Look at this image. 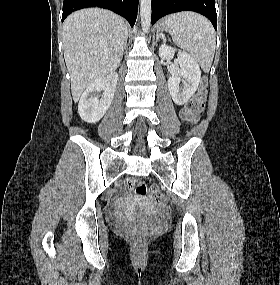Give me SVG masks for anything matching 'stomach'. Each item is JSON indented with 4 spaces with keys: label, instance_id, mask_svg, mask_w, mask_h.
<instances>
[{
    "label": "stomach",
    "instance_id": "1",
    "mask_svg": "<svg viewBox=\"0 0 280 285\" xmlns=\"http://www.w3.org/2000/svg\"><path fill=\"white\" fill-rule=\"evenodd\" d=\"M159 30H168V29H167L166 25L161 24L159 27Z\"/></svg>",
    "mask_w": 280,
    "mask_h": 285
}]
</instances>
